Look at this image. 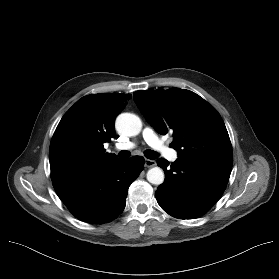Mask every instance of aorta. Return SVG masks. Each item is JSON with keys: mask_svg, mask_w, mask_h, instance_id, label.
<instances>
[{"mask_svg": "<svg viewBox=\"0 0 279 279\" xmlns=\"http://www.w3.org/2000/svg\"><path fill=\"white\" fill-rule=\"evenodd\" d=\"M119 133L126 136H136L142 129L140 118L132 113H121L115 122ZM164 172L160 167H153L147 172V180L151 184L161 185L164 182Z\"/></svg>", "mask_w": 279, "mask_h": 279, "instance_id": "obj_1", "label": "aorta"}]
</instances>
